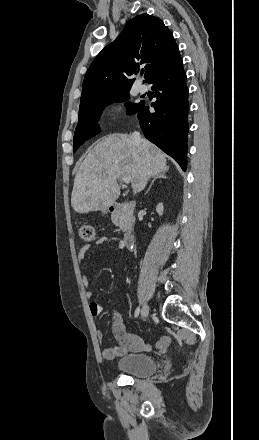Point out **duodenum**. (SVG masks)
Here are the masks:
<instances>
[{
    "label": "duodenum",
    "mask_w": 259,
    "mask_h": 440,
    "mask_svg": "<svg viewBox=\"0 0 259 440\" xmlns=\"http://www.w3.org/2000/svg\"><path fill=\"white\" fill-rule=\"evenodd\" d=\"M135 203L128 201L124 203L115 202L109 206V212L114 216H119L123 212H131L134 209ZM123 240L127 248H131L134 244V233L132 229H127L124 233Z\"/></svg>",
    "instance_id": "410a0bca"
}]
</instances>
